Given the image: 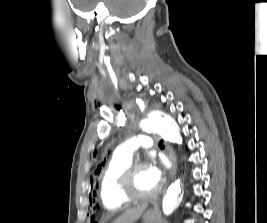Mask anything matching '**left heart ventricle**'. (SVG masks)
Listing matches in <instances>:
<instances>
[{
  "label": "left heart ventricle",
  "instance_id": "b2bd125f",
  "mask_svg": "<svg viewBox=\"0 0 267 223\" xmlns=\"http://www.w3.org/2000/svg\"><path fill=\"white\" fill-rule=\"evenodd\" d=\"M158 185L148 175V167L139 169L134 176V189L138 193L147 194L155 191Z\"/></svg>",
  "mask_w": 267,
  "mask_h": 223
}]
</instances>
